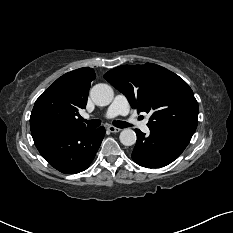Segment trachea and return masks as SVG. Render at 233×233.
I'll return each instance as SVG.
<instances>
[{"label": "trachea", "mask_w": 233, "mask_h": 233, "mask_svg": "<svg viewBox=\"0 0 233 233\" xmlns=\"http://www.w3.org/2000/svg\"><path fill=\"white\" fill-rule=\"evenodd\" d=\"M81 120L84 121L85 123H87V126L89 128H97L101 124L100 120H97V119H95V120H86V119L81 117ZM113 124H114V126H116L118 128H126V127L131 126L127 122H123V121H114Z\"/></svg>", "instance_id": "trachea-1"}]
</instances>
